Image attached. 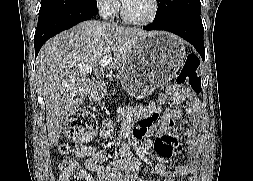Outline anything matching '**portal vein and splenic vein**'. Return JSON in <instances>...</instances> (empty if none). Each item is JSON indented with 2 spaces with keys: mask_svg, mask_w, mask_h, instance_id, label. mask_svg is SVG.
<instances>
[{
  "mask_svg": "<svg viewBox=\"0 0 253 181\" xmlns=\"http://www.w3.org/2000/svg\"><path fill=\"white\" fill-rule=\"evenodd\" d=\"M112 62V56L111 55H106L99 61V66L100 67H106ZM94 66L90 65H83L81 66V71L85 74H90L94 70Z\"/></svg>",
  "mask_w": 253,
  "mask_h": 181,
  "instance_id": "1",
  "label": "portal vein and splenic vein"
}]
</instances>
